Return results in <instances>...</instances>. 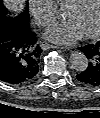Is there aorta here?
<instances>
[{"label": "aorta", "mask_w": 100, "mask_h": 118, "mask_svg": "<svg viewBox=\"0 0 100 118\" xmlns=\"http://www.w3.org/2000/svg\"><path fill=\"white\" fill-rule=\"evenodd\" d=\"M71 67L78 71L83 72L88 67V59L83 52L73 51L70 55Z\"/></svg>", "instance_id": "762f6f07"}]
</instances>
